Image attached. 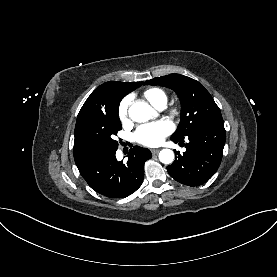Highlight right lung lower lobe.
I'll return each instance as SVG.
<instances>
[{
	"label": "right lung lower lobe",
	"instance_id": "right-lung-lower-lobe-1",
	"mask_svg": "<svg viewBox=\"0 0 277 277\" xmlns=\"http://www.w3.org/2000/svg\"><path fill=\"white\" fill-rule=\"evenodd\" d=\"M115 154L116 150L93 156L77 167L93 190L109 198H122L141 186L144 164L152 155L148 149L134 146L123 164Z\"/></svg>",
	"mask_w": 277,
	"mask_h": 277
}]
</instances>
